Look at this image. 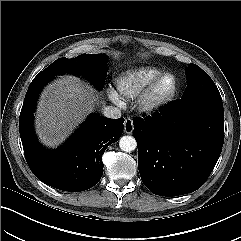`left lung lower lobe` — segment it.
I'll use <instances>...</instances> for the list:
<instances>
[{"label": "left lung lower lobe", "instance_id": "left-lung-lower-lobe-1", "mask_svg": "<svg viewBox=\"0 0 241 241\" xmlns=\"http://www.w3.org/2000/svg\"><path fill=\"white\" fill-rule=\"evenodd\" d=\"M133 125L145 186L160 196L187 194L207 180L222 151V98L181 99L161 114L135 118Z\"/></svg>", "mask_w": 241, "mask_h": 241}]
</instances>
